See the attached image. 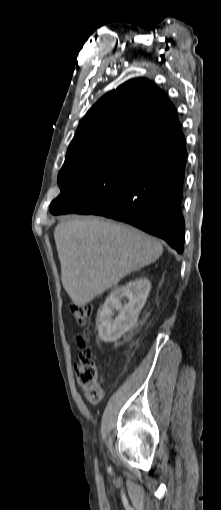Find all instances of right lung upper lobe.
<instances>
[{"mask_svg":"<svg viewBox=\"0 0 221 510\" xmlns=\"http://www.w3.org/2000/svg\"><path fill=\"white\" fill-rule=\"evenodd\" d=\"M182 135L176 109L164 92L145 78L132 79L87 112L65 161L127 146L152 150Z\"/></svg>","mask_w":221,"mask_h":510,"instance_id":"obj_1","label":"right lung upper lobe"}]
</instances>
